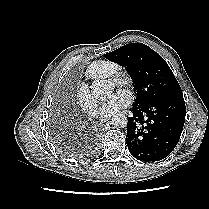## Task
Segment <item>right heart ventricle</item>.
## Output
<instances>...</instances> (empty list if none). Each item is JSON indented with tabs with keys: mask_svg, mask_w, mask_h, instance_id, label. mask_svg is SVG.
I'll list each match as a JSON object with an SVG mask.
<instances>
[{
	"mask_svg": "<svg viewBox=\"0 0 209 209\" xmlns=\"http://www.w3.org/2000/svg\"><path fill=\"white\" fill-rule=\"evenodd\" d=\"M119 71V65L110 60H98L88 66L85 76L90 80L108 79Z\"/></svg>",
	"mask_w": 209,
	"mask_h": 209,
	"instance_id": "1",
	"label": "right heart ventricle"
}]
</instances>
